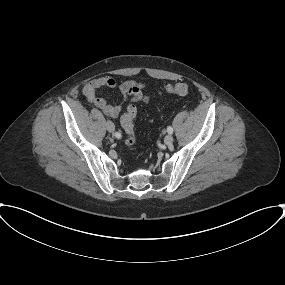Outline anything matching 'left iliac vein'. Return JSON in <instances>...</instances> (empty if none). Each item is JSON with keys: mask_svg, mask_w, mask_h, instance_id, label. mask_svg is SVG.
<instances>
[{"mask_svg": "<svg viewBox=\"0 0 285 285\" xmlns=\"http://www.w3.org/2000/svg\"><path fill=\"white\" fill-rule=\"evenodd\" d=\"M164 142L166 145H170L173 142V136L172 134H167L164 138Z\"/></svg>", "mask_w": 285, "mask_h": 285, "instance_id": "obj_1", "label": "left iliac vein"}]
</instances>
